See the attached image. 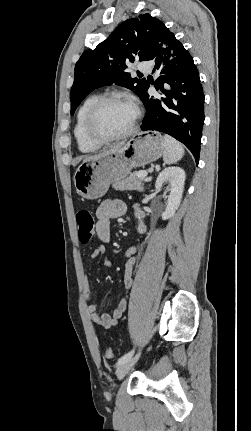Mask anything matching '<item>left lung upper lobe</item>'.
Here are the masks:
<instances>
[{
    "mask_svg": "<svg viewBox=\"0 0 251 431\" xmlns=\"http://www.w3.org/2000/svg\"><path fill=\"white\" fill-rule=\"evenodd\" d=\"M170 34L163 22L150 14L123 22L93 50L85 51L75 66L70 92L71 115L94 89L113 83L135 92L140 98L147 86L145 79L131 78L126 63L149 61L155 45Z\"/></svg>",
    "mask_w": 251,
    "mask_h": 431,
    "instance_id": "1",
    "label": "left lung upper lobe"
}]
</instances>
